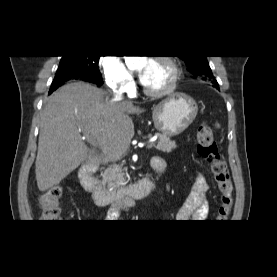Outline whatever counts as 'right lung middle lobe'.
Returning a JSON list of instances; mask_svg holds the SVG:
<instances>
[{"instance_id":"dd1d6c3e","label":"right lung middle lobe","mask_w":277,"mask_h":277,"mask_svg":"<svg viewBox=\"0 0 277 277\" xmlns=\"http://www.w3.org/2000/svg\"><path fill=\"white\" fill-rule=\"evenodd\" d=\"M99 58L100 56H62L55 78L77 74L100 82Z\"/></svg>"}]
</instances>
